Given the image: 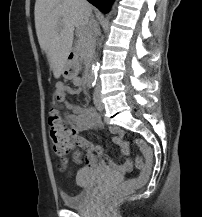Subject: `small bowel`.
Returning <instances> with one entry per match:
<instances>
[{
  "label": "small bowel",
  "mask_w": 202,
  "mask_h": 217,
  "mask_svg": "<svg viewBox=\"0 0 202 217\" xmlns=\"http://www.w3.org/2000/svg\"><path fill=\"white\" fill-rule=\"evenodd\" d=\"M73 84L80 86L81 78H73ZM55 92L56 98L65 109V119L69 135L79 147L85 150L84 154L80 157L85 162L86 167L104 173H111L116 176H123L130 173L134 168V164L129 158V144L124 140V132L117 127H111L109 129L113 135V142L120 147L121 151V158L116 163L104 156V148L102 145H95L80 136L81 132L99 125L100 117L97 111L93 107H82L68 102L66 96L74 94L77 91L61 81L56 83Z\"/></svg>",
  "instance_id": "1"
}]
</instances>
